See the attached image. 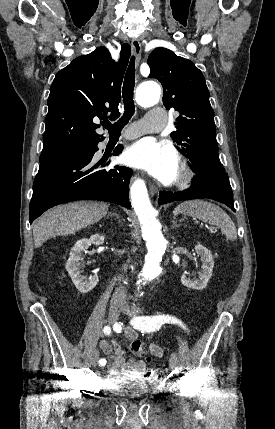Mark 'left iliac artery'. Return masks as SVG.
Segmentation results:
<instances>
[{
  "label": "left iliac artery",
  "mask_w": 275,
  "mask_h": 429,
  "mask_svg": "<svg viewBox=\"0 0 275 429\" xmlns=\"http://www.w3.org/2000/svg\"><path fill=\"white\" fill-rule=\"evenodd\" d=\"M164 323L177 324L188 332L187 326L181 320L170 315L140 316L132 320V325L136 329L145 332L155 331Z\"/></svg>",
  "instance_id": "obj_1"
}]
</instances>
